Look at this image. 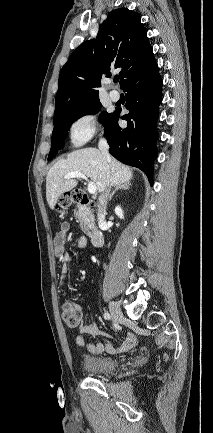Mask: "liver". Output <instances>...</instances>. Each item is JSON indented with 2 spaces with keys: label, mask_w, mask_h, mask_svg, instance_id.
<instances>
[{
  "label": "liver",
  "mask_w": 213,
  "mask_h": 433,
  "mask_svg": "<svg viewBox=\"0 0 213 433\" xmlns=\"http://www.w3.org/2000/svg\"><path fill=\"white\" fill-rule=\"evenodd\" d=\"M71 172H81L96 185L98 192H104L108 186L129 183L133 177L130 167L114 158L107 160L96 148H84L71 152L66 159H60L49 170L46 177V198L54 209L58 198L75 188V178L65 179Z\"/></svg>",
  "instance_id": "1"
}]
</instances>
